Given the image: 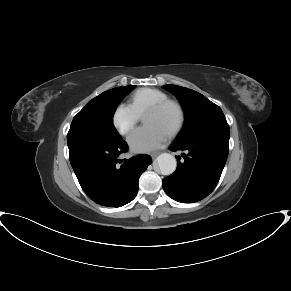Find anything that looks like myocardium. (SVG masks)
Instances as JSON below:
<instances>
[{"mask_svg": "<svg viewBox=\"0 0 291 291\" xmlns=\"http://www.w3.org/2000/svg\"><path fill=\"white\" fill-rule=\"evenodd\" d=\"M168 107L173 108V110L176 113L175 123L173 124L172 128L169 131L171 135H174L182 128L184 124V120H185L183 108L177 101L171 100V99H165L157 103H154L145 109L143 115L148 112H160V111L165 110Z\"/></svg>", "mask_w": 291, "mask_h": 291, "instance_id": "obj_1", "label": "myocardium"}]
</instances>
